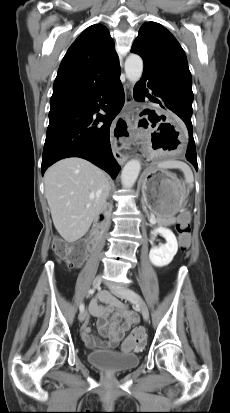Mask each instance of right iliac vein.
<instances>
[{
    "label": "right iliac vein",
    "instance_id": "1",
    "mask_svg": "<svg viewBox=\"0 0 230 413\" xmlns=\"http://www.w3.org/2000/svg\"><path fill=\"white\" fill-rule=\"evenodd\" d=\"M101 282H102V276H101V275H98V276L94 279V281H93V287H94L95 289H96V288H99ZM85 318H86V311H81V312L79 313V315H78L79 321H80V322H83V321L85 320Z\"/></svg>",
    "mask_w": 230,
    "mask_h": 413
}]
</instances>
